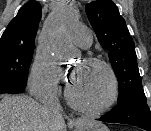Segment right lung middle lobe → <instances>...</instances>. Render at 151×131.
Masks as SVG:
<instances>
[{
	"label": "right lung middle lobe",
	"instance_id": "dd1d6c3e",
	"mask_svg": "<svg viewBox=\"0 0 151 131\" xmlns=\"http://www.w3.org/2000/svg\"><path fill=\"white\" fill-rule=\"evenodd\" d=\"M34 45L15 42L0 43V93L25 90Z\"/></svg>",
	"mask_w": 151,
	"mask_h": 131
}]
</instances>
